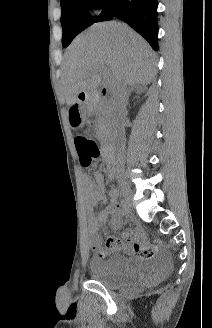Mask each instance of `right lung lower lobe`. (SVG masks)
Returning a JSON list of instances; mask_svg holds the SVG:
<instances>
[{"instance_id": "1", "label": "right lung lower lobe", "mask_w": 212, "mask_h": 328, "mask_svg": "<svg viewBox=\"0 0 212 328\" xmlns=\"http://www.w3.org/2000/svg\"><path fill=\"white\" fill-rule=\"evenodd\" d=\"M103 10L94 22L116 17L135 29L158 50L157 0H104Z\"/></svg>"}]
</instances>
